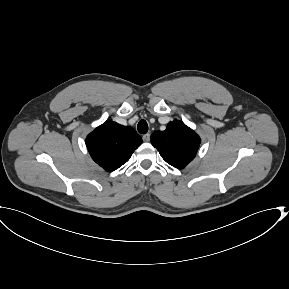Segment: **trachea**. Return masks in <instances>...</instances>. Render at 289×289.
I'll use <instances>...</instances> for the list:
<instances>
[{
	"mask_svg": "<svg viewBox=\"0 0 289 289\" xmlns=\"http://www.w3.org/2000/svg\"><path fill=\"white\" fill-rule=\"evenodd\" d=\"M138 132L141 134H146L148 132V124L145 120H140L137 125Z\"/></svg>",
	"mask_w": 289,
	"mask_h": 289,
	"instance_id": "obj_1",
	"label": "trachea"
}]
</instances>
